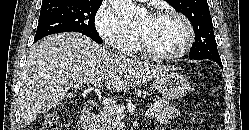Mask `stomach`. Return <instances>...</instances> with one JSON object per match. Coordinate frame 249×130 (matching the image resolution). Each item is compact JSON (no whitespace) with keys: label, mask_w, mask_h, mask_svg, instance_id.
Here are the masks:
<instances>
[{"label":"stomach","mask_w":249,"mask_h":130,"mask_svg":"<svg viewBox=\"0 0 249 130\" xmlns=\"http://www.w3.org/2000/svg\"><path fill=\"white\" fill-rule=\"evenodd\" d=\"M153 86L168 99L181 98L190 91L188 78L175 70L157 75L154 78Z\"/></svg>","instance_id":"0dacf381"}]
</instances>
